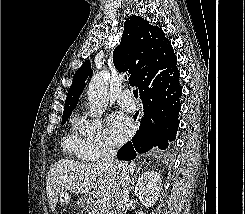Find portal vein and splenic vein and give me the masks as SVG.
I'll return each mask as SVG.
<instances>
[{"label": "portal vein and splenic vein", "instance_id": "1", "mask_svg": "<svg viewBox=\"0 0 245 214\" xmlns=\"http://www.w3.org/2000/svg\"><path fill=\"white\" fill-rule=\"evenodd\" d=\"M110 203H111V200H110V197H108V196H104L103 198L100 199V204H101L103 207H108V206H110Z\"/></svg>", "mask_w": 245, "mask_h": 214}]
</instances>
